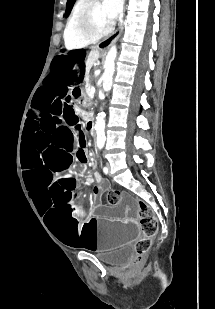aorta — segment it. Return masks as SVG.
Returning <instances> with one entry per match:
<instances>
[{
  "instance_id": "aorta-1",
  "label": "aorta",
  "mask_w": 215,
  "mask_h": 309,
  "mask_svg": "<svg viewBox=\"0 0 215 309\" xmlns=\"http://www.w3.org/2000/svg\"><path fill=\"white\" fill-rule=\"evenodd\" d=\"M117 54V48L115 44L111 46L110 50H108V54L105 60V70L102 74L103 78V90H110L113 82V74L115 70V58ZM105 112H98L95 130L97 134V146L98 148H102L105 144L106 136H105Z\"/></svg>"
}]
</instances>
